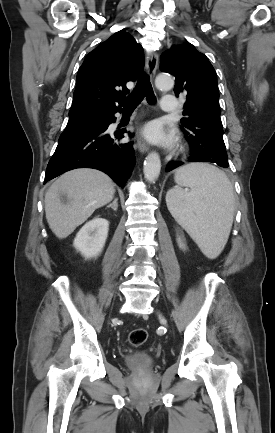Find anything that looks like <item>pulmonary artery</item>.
Listing matches in <instances>:
<instances>
[{"label": "pulmonary artery", "instance_id": "1", "mask_svg": "<svg viewBox=\"0 0 275 433\" xmlns=\"http://www.w3.org/2000/svg\"><path fill=\"white\" fill-rule=\"evenodd\" d=\"M161 110L165 113H172L176 110L177 101L176 97L171 94H166L161 100Z\"/></svg>", "mask_w": 275, "mask_h": 433}]
</instances>
